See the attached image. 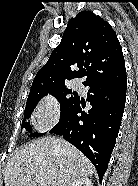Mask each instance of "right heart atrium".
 <instances>
[{
  "instance_id": "obj_1",
  "label": "right heart atrium",
  "mask_w": 138,
  "mask_h": 186,
  "mask_svg": "<svg viewBox=\"0 0 138 186\" xmlns=\"http://www.w3.org/2000/svg\"><path fill=\"white\" fill-rule=\"evenodd\" d=\"M60 117V104L53 95L45 96L35 109V121L40 129H48L54 125Z\"/></svg>"
}]
</instances>
